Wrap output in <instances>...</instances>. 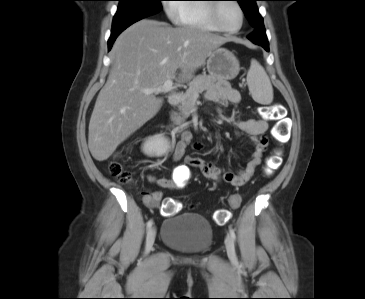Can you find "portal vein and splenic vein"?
Instances as JSON below:
<instances>
[{
	"label": "portal vein and splenic vein",
	"mask_w": 365,
	"mask_h": 299,
	"mask_svg": "<svg viewBox=\"0 0 365 299\" xmlns=\"http://www.w3.org/2000/svg\"><path fill=\"white\" fill-rule=\"evenodd\" d=\"M176 88V86H174L173 84V80L172 79H168L164 82V84L162 86H159L157 88H151V89H143L142 91L145 94H158V93H167V92H171Z\"/></svg>",
	"instance_id": "18ae733b"
}]
</instances>
